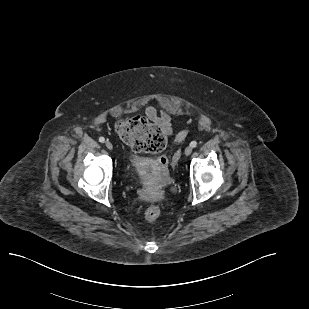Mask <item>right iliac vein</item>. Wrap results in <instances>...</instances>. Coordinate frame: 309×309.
I'll return each instance as SVG.
<instances>
[{
	"mask_svg": "<svg viewBox=\"0 0 309 309\" xmlns=\"http://www.w3.org/2000/svg\"><path fill=\"white\" fill-rule=\"evenodd\" d=\"M105 145H106L107 149H109V150H112V149H113V145H112L111 142L106 141Z\"/></svg>",
	"mask_w": 309,
	"mask_h": 309,
	"instance_id": "1",
	"label": "right iliac vein"
}]
</instances>
